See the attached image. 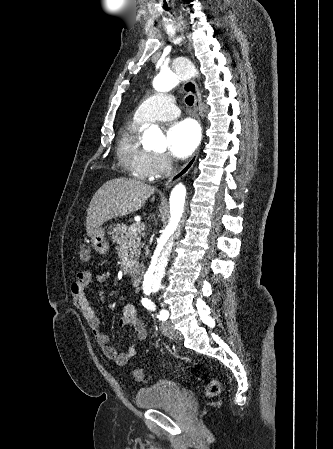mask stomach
I'll list each match as a JSON object with an SVG mask.
<instances>
[{"mask_svg": "<svg viewBox=\"0 0 333 449\" xmlns=\"http://www.w3.org/2000/svg\"><path fill=\"white\" fill-rule=\"evenodd\" d=\"M91 242L94 250L99 254L103 255L109 249L108 242L105 239V230L101 227L92 234Z\"/></svg>", "mask_w": 333, "mask_h": 449, "instance_id": "1", "label": "stomach"}]
</instances>
